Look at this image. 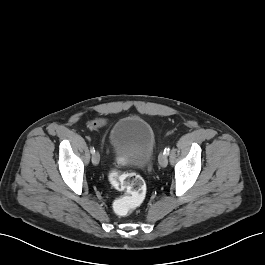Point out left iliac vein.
Segmentation results:
<instances>
[{
	"instance_id": "1",
	"label": "left iliac vein",
	"mask_w": 265,
	"mask_h": 265,
	"mask_svg": "<svg viewBox=\"0 0 265 265\" xmlns=\"http://www.w3.org/2000/svg\"><path fill=\"white\" fill-rule=\"evenodd\" d=\"M159 164L162 168H165L168 165V158L167 155L161 153L158 158Z\"/></svg>"
}]
</instances>
